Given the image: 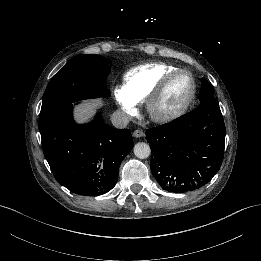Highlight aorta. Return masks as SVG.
<instances>
[{"label":"aorta","instance_id":"obj_1","mask_svg":"<svg viewBox=\"0 0 261 261\" xmlns=\"http://www.w3.org/2000/svg\"><path fill=\"white\" fill-rule=\"evenodd\" d=\"M134 155L139 159H146L151 154V149L147 143L139 142L134 146Z\"/></svg>","mask_w":261,"mask_h":261}]
</instances>
